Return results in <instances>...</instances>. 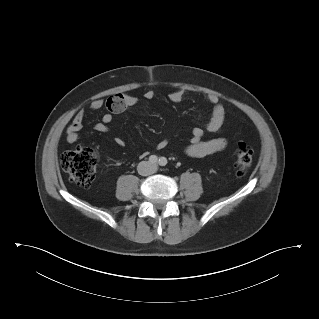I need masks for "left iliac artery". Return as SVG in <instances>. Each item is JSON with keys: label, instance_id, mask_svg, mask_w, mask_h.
Here are the masks:
<instances>
[{"label": "left iliac artery", "instance_id": "left-iliac-artery-1", "mask_svg": "<svg viewBox=\"0 0 319 319\" xmlns=\"http://www.w3.org/2000/svg\"><path fill=\"white\" fill-rule=\"evenodd\" d=\"M158 163L160 166H165L167 164V159L165 157H161L159 158Z\"/></svg>", "mask_w": 319, "mask_h": 319}]
</instances>
